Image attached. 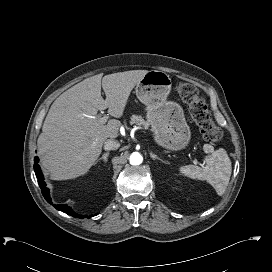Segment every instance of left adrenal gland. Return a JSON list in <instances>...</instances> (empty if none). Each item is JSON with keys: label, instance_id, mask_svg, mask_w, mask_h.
Segmentation results:
<instances>
[{"label": "left adrenal gland", "instance_id": "obj_1", "mask_svg": "<svg viewBox=\"0 0 272 272\" xmlns=\"http://www.w3.org/2000/svg\"><path fill=\"white\" fill-rule=\"evenodd\" d=\"M150 154V157L153 159V160H159L165 164H169L168 161H165L163 159H161L160 157H158L156 154H154L152 151L149 153Z\"/></svg>", "mask_w": 272, "mask_h": 272}]
</instances>
